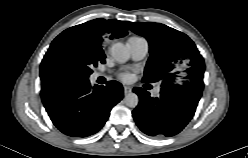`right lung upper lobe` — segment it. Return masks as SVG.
<instances>
[{
	"mask_svg": "<svg viewBox=\"0 0 248 158\" xmlns=\"http://www.w3.org/2000/svg\"><path fill=\"white\" fill-rule=\"evenodd\" d=\"M108 34L111 35L110 38L124 37L125 35H127V28L123 22L118 20H91L63 31L54 39V41L51 43L50 48H52V46H54L58 42L69 41L105 58L102 45L104 38ZM40 77L41 92L51 87L64 85V83L54 79L48 72L46 66V55L44 56V59L42 60L40 66Z\"/></svg>",
	"mask_w": 248,
	"mask_h": 158,
	"instance_id": "1",
	"label": "right lung upper lobe"
}]
</instances>
